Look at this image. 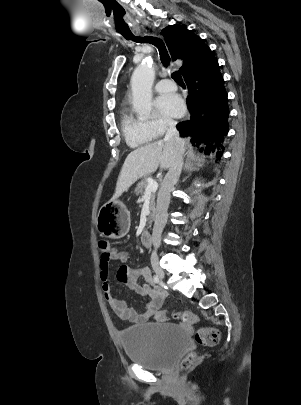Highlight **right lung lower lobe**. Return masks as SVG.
Returning a JSON list of instances; mask_svg holds the SVG:
<instances>
[{
	"instance_id": "98d812e1",
	"label": "right lung lower lobe",
	"mask_w": 301,
	"mask_h": 405,
	"mask_svg": "<svg viewBox=\"0 0 301 405\" xmlns=\"http://www.w3.org/2000/svg\"><path fill=\"white\" fill-rule=\"evenodd\" d=\"M189 96L190 118L176 125L183 136H191L193 145L209 143L205 151L220 147L228 133L227 93L217 59L184 76Z\"/></svg>"
}]
</instances>
